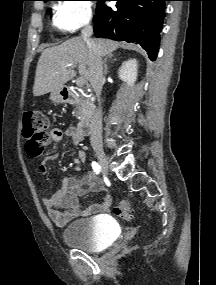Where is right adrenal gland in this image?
Instances as JSON below:
<instances>
[{"label": "right adrenal gland", "mask_w": 216, "mask_h": 285, "mask_svg": "<svg viewBox=\"0 0 216 285\" xmlns=\"http://www.w3.org/2000/svg\"><path fill=\"white\" fill-rule=\"evenodd\" d=\"M112 57H113V55L111 54V55H108L107 57H105V59H104V73H105V74L108 73L107 61H108L109 58H112ZM116 60H117V59L115 58V59L112 60V62H114V61H116Z\"/></svg>", "instance_id": "obj_1"}]
</instances>
